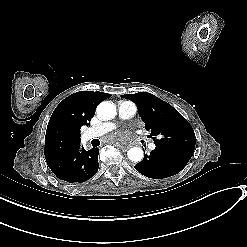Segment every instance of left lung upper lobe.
I'll return each mask as SVG.
<instances>
[{"mask_svg":"<svg viewBox=\"0 0 247 247\" xmlns=\"http://www.w3.org/2000/svg\"><path fill=\"white\" fill-rule=\"evenodd\" d=\"M134 101L156 147L173 149L192 156L195 134L187 120L170 104L153 94L139 92L121 95Z\"/></svg>","mask_w":247,"mask_h":247,"instance_id":"obj_1","label":"left lung upper lobe"}]
</instances>
